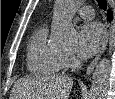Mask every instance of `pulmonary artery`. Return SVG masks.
<instances>
[{
	"label": "pulmonary artery",
	"instance_id": "1",
	"mask_svg": "<svg viewBox=\"0 0 115 99\" xmlns=\"http://www.w3.org/2000/svg\"><path fill=\"white\" fill-rule=\"evenodd\" d=\"M77 14L85 19H90L94 17V10L91 6H82L77 10Z\"/></svg>",
	"mask_w": 115,
	"mask_h": 99
}]
</instances>
